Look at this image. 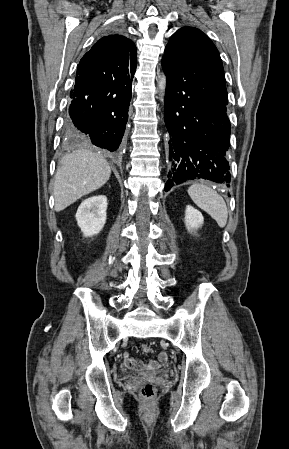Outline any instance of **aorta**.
Wrapping results in <instances>:
<instances>
[{
    "mask_svg": "<svg viewBox=\"0 0 289 449\" xmlns=\"http://www.w3.org/2000/svg\"><path fill=\"white\" fill-rule=\"evenodd\" d=\"M165 87H166V77L164 74H162V76L160 77V80H159V88H160L162 96H164Z\"/></svg>",
    "mask_w": 289,
    "mask_h": 449,
    "instance_id": "1",
    "label": "aorta"
}]
</instances>
